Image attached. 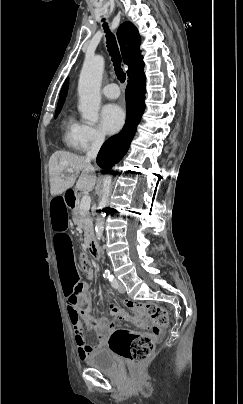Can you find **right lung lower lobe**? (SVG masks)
Listing matches in <instances>:
<instances>
[{
    "label": "right lung lower lobe",
    "mask_w": 243,
    "mask_h": 404,
    "mask_svg": "<svg viewBox=\"0 0 243 404\" xmlns=\"http://www.w3.org/2000/svg\"><path fill=\"white\" fill-rule=\"evenodd\" d=\"M145 74L140 72L128 79L126 89L127 118L120 133L108 139L101 147L97 164L109 170L127 152L145 109Z\"/></svg>",
    "instance_id": "right-lung-lower-lobe-1"
}]
</instances>
